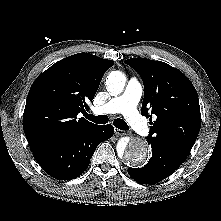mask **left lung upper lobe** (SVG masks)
Returning <instances> with one entry per match:
<instances>
[{"label": "left lung upper lobe", "instance_id": "1", "mask_svg": "<svg viewBox=\"0 0 221 221\" xmlns=\"http://www.w3.org/2000/svg\"><path fill=\"white\" fill-rule=\"evenodd\" d=\"M124 63L135 69L144 83L142 115L150 117L152 125L147 141L187 156L201 126L195 87L181 71L164 62L131 58ZM149 114L156 116L154 122Z\"/></svg>", "mask_w": 221, "mask_h": 221}]
</instances>
